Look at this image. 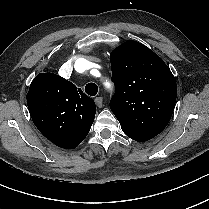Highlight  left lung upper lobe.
<instances>
[{"label":"left lung upper lobe","mask_w":209,"mask_h":209,"mask_svg":"<svg viewBox=\"0 0 209 209\" xmlns=\"http://www.w3.org/2000/svg\"><path fill=\"white\" fill-rule=\"evenodd\" d=\"M116 93L110 108L130 138L144 142L158 135L172 116L177 86L165 62L136 41L110 55Z\"/></svg>","instance_id":"obj_1"}]
</instances>
